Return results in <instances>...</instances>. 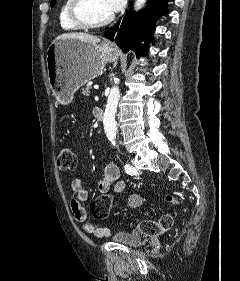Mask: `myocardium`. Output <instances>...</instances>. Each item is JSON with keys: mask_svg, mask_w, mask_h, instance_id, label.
<instances>
[{"mask_svg": "<svg viewBox=\"0 0 240 281\" xmlns=\"http://www.w3.org/2000/svg\"><path fill=\"white\" fill-rule=\"evenodd\" d=\"M89 0H71L68 7V15L70 20L81 28L95 29L108 25L114 19L112 13L107 18L94 21L88 14Z\"/></svg>", "mask_w": 240, "mask_h": 281, "instance_id": "obj_1", "label": "myocardium"}]
</instances>
